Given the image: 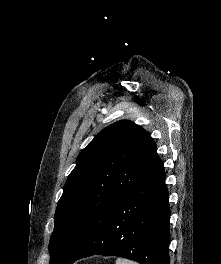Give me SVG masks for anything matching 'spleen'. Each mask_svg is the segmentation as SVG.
I'll return each instance as SVG.
<instances>
[{
    "mask_svg": "<svg viewBox=\"0 0 221 264\" xmlns=\"http://www.w3.org/2000/svg\"><path fill=\"white\" fill-rule=\"evenodd\" d=\"M116 264H138L136 262L130 261L128 259H124V258H118L116 260Z\"/></svg>",
    "mask_w": 221,
    "mask_h": 264,
    "instance_id": "1",
    "label": "spleen"
}]
</instances>
